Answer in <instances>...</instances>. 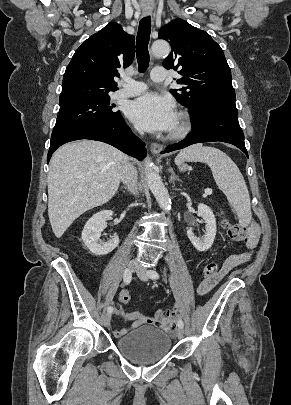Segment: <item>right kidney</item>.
<instances>
[{"label": "right kidney", "mask_w": 291, "mask_h": 405, "mask_svg": "<svg viewBox=\"0 0 291 405\" xmlns=\"http://www.w3.org/2000/svg\"><path fill=\"white\" fill-rule=\"evenodd\" d=\"M111 210H103L94 214L85 224L82 231V240L94 255H106L119 244V237L115 235L107 242L100 240L101 232L106 228V220L112 216Z\"/></svg>", "instance_id": "1"}]
</instances>
